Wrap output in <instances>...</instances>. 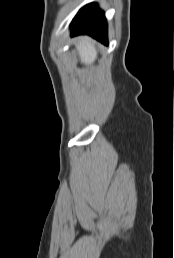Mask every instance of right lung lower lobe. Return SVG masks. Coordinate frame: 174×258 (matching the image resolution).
I'll return each mask as SVG.
<instances>
[{
	"label": "right lung lower lobe",
	"instance_id": "98d812e1",
	"mask_svg": "<svg viewBox=\"0 0 174 258\" xmlns=\"http://www.w3.org/2000/svg\"><path fill=\"white\" fill-rule=\"evenodd\" d=\"M71 28L72 36L88 34L102 43L108 44L106 18L96 3L88 4L80 9L71 23Z\"/></svg>",
	"mask_w": 174,
	"mask_h": 258
}]
</instances>
